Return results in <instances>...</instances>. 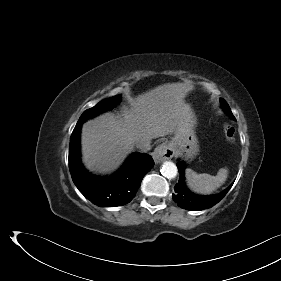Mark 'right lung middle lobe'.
Returning <instances> with one entry per match:
<instances>
[{
    "label": "right lung middle lobe",
    "mask_w": 281,
    "mask_h": 281,
    "mask_svg": "<svg viewBox=\"0 0 281 281\" xmlns=\"http://www.w3.org/2000/svg\"><path fill=\"white\" fill-rule=\"evenodd\" d=\"M121 99L120 95H116L114 97L104 99L98 104H96L94 107L84 111V113L79 118L78 123H84L87 119L92 118L110 108L115 106Z\"/></svg>",
    "instance_id": "1"
}]
</instances>
